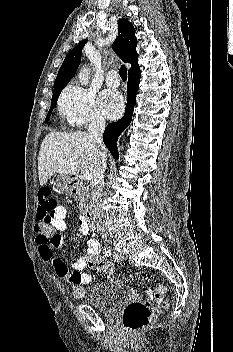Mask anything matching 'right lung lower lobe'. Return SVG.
<instances>
[{
	"label": "right lung lower lobe",
	"instance_id": "right-lung-lower-lobe-1",
	"mask_svg": "<svg viewBox=\"0 0 233 352\" xmlns=\"http://www.w3.org/2000/svg\"><path fill=\"white\" fill-rule=\"evenodd\" d=\"M140 77L141 72L129 75L127 85L128 97L124 116L116 123L108 125L103 134V142L116 160L118 159V153L115 142L117 141L119 134H121L131 122Z\"/></svg>",
	"mask_w": 233,
	"mask_h": 352
}]
</instances>
